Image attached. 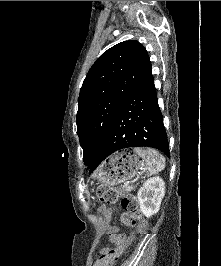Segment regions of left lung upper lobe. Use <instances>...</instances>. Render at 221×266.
I'll use <instances>...</instances> for the list:
<instances>
[{"label":"left lung upper lobe","mask_w":221,"mask_h":266,"mask_svg":"<svg viewBox=\"0 0 221 266\" xmlns=\"http://www.w3.org/2000/svg\"><path fill=\"white\" fill-rule=\"evenodd\" d=\"M151 67L146 49L129 40L108 49L90 68L80 89L76 116L86 165L93 162L125 98L152 74Z\"/></svg>","instance_id":"1"}]
</instances>
